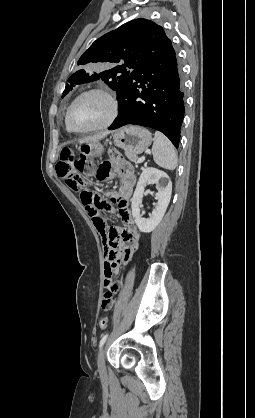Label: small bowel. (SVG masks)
Masks as SVG:
<instances>
[{
  "label": "small bowel",
  "instance_id": "small-bowel-1",
  "mask_svg": "<svg viewBox=\"0 0 255 418\" xmlns=\"http://www.w3.org/2000/svg\"><path fill=\"white\" fill-rule=\"evenodd\" d=\"M114 175L120 177V187L117 192L112 193L111 199L118 207L123 227H108L103 233L97 228L95 220L92 218L103 240L101 247L104 255V292L100 303V310L103 314L114 310L116 292L121 287L120 282L114 280H119L122 269H126L127 265H130L134 256L137 255V249L140 248L139 230L127 228L132 224L128 202L133 193L135 175L131 167L123 162L119 147H110L108 161L101 164L98 170L100 179ZM105 209L111 210V207L107 205Z\"/></svg>",
  "mask_w": 255,
  "mask_h": 418
}]
</instances>
